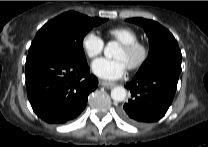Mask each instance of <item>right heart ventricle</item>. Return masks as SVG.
Here are the masks:
<instances>
[{
    "instance_id": "obj_1",
    "label": "right heart ventricle",
    "mask_w": 208,
    "mask_h": 147,
    "mask_svg": "<svg viewBox=\"0 0 208 147\" xmlns=\"http://www.w3.org/2000/svg\"><path fill=\"white\" fill-rule=\"evenodd\" d=\"M107 34L111 39L121 44L138 40L137 33L132 28L125 26L111 28L108 30Z\"/></svg>"
}]
</instances>
